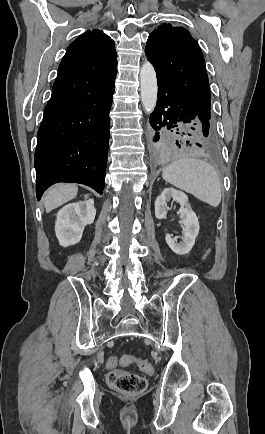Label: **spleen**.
Wrapping results in <instances>:
<instances>
[{
    "instance_id": "3e777b00",
    "label": "spleen",
    "mask_w": 265,
    "mask_h": 434,
    "mask_svg": "<svg viewBox=\"0 0 265 434\" xmlns=\"http://www.w3.org/2000/svg\"><path fill=\"white\" fill-rule=\"evenodd\" d=\"M162 178L172 186L193 194L195 198L213 208L219 206L221 202V184L218 174L205 160H196V158L176 160L164 168Z\"/></svg>"
}]
</instances>
